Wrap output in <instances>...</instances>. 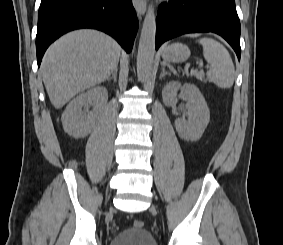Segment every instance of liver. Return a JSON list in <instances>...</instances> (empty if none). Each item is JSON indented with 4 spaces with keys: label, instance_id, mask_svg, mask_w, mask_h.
<instances>
[{
    "label": "liver",
    "instance_id": "obj_1",
    "mask_svg": "<svg viewBox=\"0 0 283 245\" xmlns=\"http://www.w3.org/2000/svg\"><path fill=\"white\" fill-rule=\"evenodd\" d=\"M121 48L96 30H77L46 51L41 75L52 105L60 109L76 94L107 80L117 68Z\"/></svg>",
    "mask_w": 283,
    "mask_h": 245
}]
</instances>
